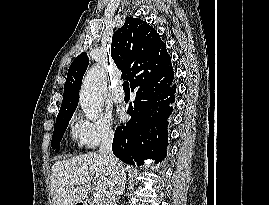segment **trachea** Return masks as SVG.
I'll return each instance as SVG.
<instances>
[{"mask_svg":"<svg viewBox=\"0 0 269 205\" xmlns=\"http://www.w3.org/2000/svg\"><path fill=\"white\" fill-rule=\"evenodd\" d=\"M123 89L125 93H130L129 82L125 81L123 83Z\"/></svg>","mask_w":269,"mask_h":205,"instance_id":"obj_1","label":"trachea"}]
</instances>
